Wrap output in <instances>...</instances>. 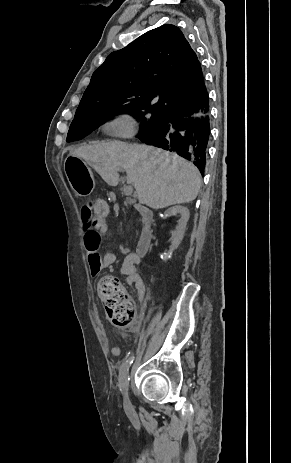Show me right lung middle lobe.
I'll list each match as a JSON object with an SVG mask.
<instances>
[{"label": "right lung middle lobe", "mask_w": 291, "mask_h": 463, "mask_svg": "<svg viewBox=\"0 0 291 463\" xmlns=\"http://www.w3.org/2000/svg\"><path fill=\"white\" fill-rule=\"evenodd\" d=\"M122 113L133 115L138 121H141V129L137 136L157 127L164 118L163 112L134 101L96 104L90 108L76 111L69 128L67 141L71 142L83 138L108 119Z\"/></svg>", "instance_id": "1"}]
</instances>
